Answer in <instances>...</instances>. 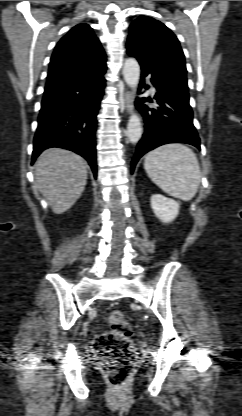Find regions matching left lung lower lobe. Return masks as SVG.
<instances>
[{
  "instance_id": "1",
  "label": "left lung lower lobe",
  "mask_w": 242,
  "mask_h": 416,
  "mask_svg": "<svg viewBox=\"0 0 242 416\" xmlns=\"http://www.w3.org/2000/svg\"><path fill=\"white\" fill-rule=\"evenodd\" d=\"M127 53L137 58L128 50ZM137 60L142 71L140 88L144 84V77L150 75L151 82L157 92L154 96L156 106L153 108L144 104L145 101L152 102L150 98H140L136 101V107L144 117L145 131L132 159V172L140 157L163 144L179 142L200 149V139L193 125V112L189 105V95L171 84L164 83L162 76L154 72L149 63L138 58Z\"/></svg>"
}]
</instances>
